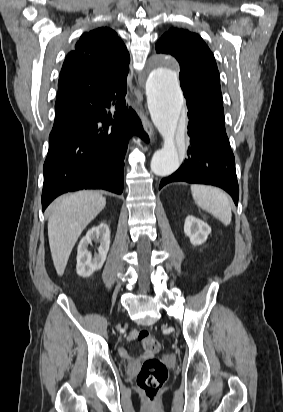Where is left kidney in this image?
<instances>
[{
  "label": "left kidney",
  "instance_id": "left-kidney-1",
  "mask_svg": "<svg viewBox=\"0 0 283 412\" xmlns=\"http://www.w3.org/2000/svg\"><path fill=\"white\" fill-rule=\"evenodd\" d=\"M184 233L189 237L191 244L197 246L207 240L208 235L211 233V228L202 220L189 215L185 220Z\"/></svg>",
  "mask_w": 283,
  "mask_h": 412
}]
</instances>
